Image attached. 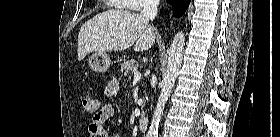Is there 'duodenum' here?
I'll return each instance as SVG.
<instances>
[{
	"label": "duodenum",
	"mask_w": 280,
	"mask_h": 137,
	"mask_svg": "<svg viewBox=\"0 0 280 137\" xmlns=\"http://www.w3.org/2000/svg\"><path fill=\"white\" fill-rule=\"evenodd\" d=\"M139 129L142 132H146L149 129V119L148 117H141L139 120Z\"/></svg>",
	"instance_id": "obj_1"
}]
</instances>
